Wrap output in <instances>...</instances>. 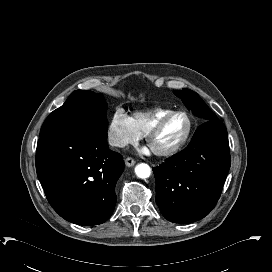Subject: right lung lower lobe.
Wrapping results in <instances>:
<instances>
[{
    "label": "right lung lower lobe",
    "mask_w": 272,
    "mask_h": 272,
    "mask_svg": "<svg viewBox=\"0 0 272 272\" xmlns=\"http://www.w3.org/2000/svg\"><path fill=\"white\" fill-rule=\"evenodd\" d=\"M122 159L109 149L107 131L101 127L72 126L40 136L36 171L50 205L61 217L97 225L113 213Z\"/></svg>",
    "instance_id": "right-lung-lower-lobe-1"
}]
</instances>
